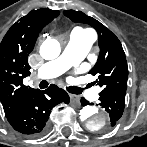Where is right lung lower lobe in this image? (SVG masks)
<instances>
[{"instance_id": "right-lung-lower-lobe-1", "label": "right lung lower lobe", "mask_w": 147, "mask_h": 147, "mask_svg": "<svg viewBox=\"0 0 147 147\" xmlns=\"http://www.w3.org/2000/svg\"><path fill=\"white\" fill-rule=\"evenodd\" d=\"M64 102L69 103L66 91L51 85L47 90L34 95L21 107L6 114L10 125L18 132L28 136H38L45 132L52 108Z\"/></svg>"}]
</instances>
